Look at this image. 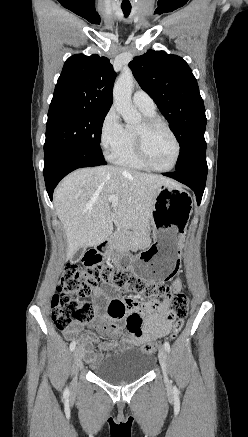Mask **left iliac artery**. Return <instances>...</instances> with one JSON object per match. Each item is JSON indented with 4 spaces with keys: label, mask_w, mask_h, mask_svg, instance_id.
Instances as JSON below:
<instances>
[{
    "label": "left iliac artery",
    "mask_w": 248,
    "mask_h": 437,
    "mask_svg": "<svg viewBox=\"0 0 248 437\" xmlns=\"http://www.w3.org/2000/svg\"><path fill=\"white\" fill-rule=\"evenodd\" d=\"M164 348L168 353L170 352V344L167 341L164 343ZM174 390H176V387H174Z\"/></svg>",
    "instance_id": "44dca946"
}]
</instances>
